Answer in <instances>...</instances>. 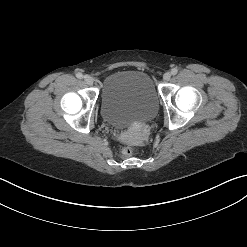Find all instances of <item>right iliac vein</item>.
Listing matches in <instances>:
<instances>
[{
    "label": "right iliac vein",
    "instance_id": "1",
    "mask_svg": "<svg viewBox=\"0 0 247 247\" xmlns=\"http://www.w3.org/2000/svg\"><path fill=\"white\" fill-rule=\"evenodd\" d=\"M84 81L88 84V85H92L93 84V79L90 75H85L84 76Z\"/></svg>",
    "mask_w": 247,
    "mask_h": 247
}]
</instances>
